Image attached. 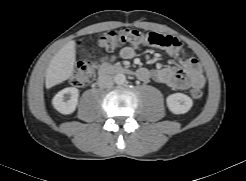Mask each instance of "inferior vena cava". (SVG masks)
Masks as SVG:
<instances>
[{
    "label": "inferior vena cava",
    "mask_w": 246,
    "mask_h": 181,
    "mask_svg": "<svg viewBox=\"0 0 246 181\" xmlns=\"http://www.w3.org/2000/svg\"><path fill=\"white\" fill-rule=\"evenodd\" d=\"M97 83H98V86L101 88H109L113 86L114 80L112 76L103 74L99 76Z\"/></svg>",
    "instance_id": "1"
}]
</instances>
